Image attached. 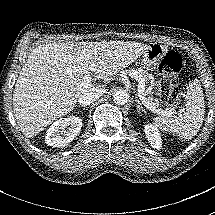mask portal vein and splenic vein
I'll list each match as a JSON object with an SVG mask.
<instances>
[{
  "mask_svg": "<svg viewBox=\"0 0 215 215\" xmlns=\"http://www.w3.org/2000/svg\"><path fill=\"white\" fill-rule=\"evenodd\" d=\"M94 71V69L93 68H91L90 70H89V72H87V73H85L84 74V81L86 82V83H91V80H92V72ZM130 75L132 76V77H134L135 78V80H137L138 81V92H139V97H140V99L143 101V103H144V106L148 109V110H150L152 113H155V114H159V113H161V112H169L170 110H168V109H166V110H161V109H158L155 105H154V103L152 102V101H150L149 99H146L145 98V96H146V94H145V92H144V90H145V80H144V78H142L138 73H136L135 71H130Z\"/></svg>",
  "mask_w": 215,
  "mask_h": 215,
  "instance_id": "18ae733b",
  "label": "portal vein and splenic vein"
}]
</instances>
